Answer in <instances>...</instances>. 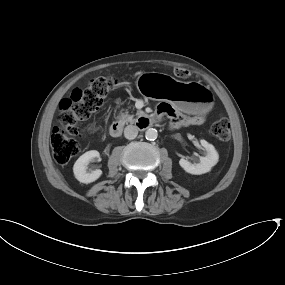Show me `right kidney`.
Returning a JSON list of instances; mask_svg holds the SVG:
<instances>
[{
    "instance_id": "1",
    "label": "right kidney",
    "mask_w": 285,
    "mask_h": 285,
    "mask_svg": "<svg viewBox=\"0 0 285 285\" xmlns=\"http://www.w3.org/2000/svg\"><path fill=\"white\" fill-rule=\"evenodd\" d=\"M96 157H99V152L96 150H90L85 152L77 159L73 166V172L75 178L79 182L88 184L94 182L102 175V171L100 169H96L91 172L87 171V165L92 159Z\"/></svg>"
}]
</instances>
